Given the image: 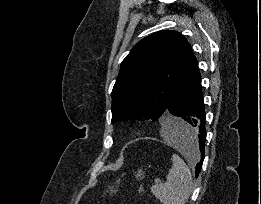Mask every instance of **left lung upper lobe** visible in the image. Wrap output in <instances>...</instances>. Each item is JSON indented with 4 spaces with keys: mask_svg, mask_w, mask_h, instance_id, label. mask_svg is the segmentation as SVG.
<instances>
[{
    "mask_svg": "<svg viewBox=\"0 0 261 204\" xmlns=\"http://www.w3.org/2000/svg\"><path fill=\"white\" fill-rule=\"evenodd\" d=\"M194 58L190 44L176 31H159L139 41L122 61L112 90V123L157 121Z\"/></svg>",
    "mask_w": 261,
    "mask_h": 204,
    "instance_id": "5c2ea615",
    "label": "left lung upper lobe"
}]
</instances>
